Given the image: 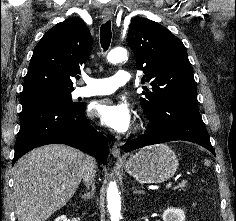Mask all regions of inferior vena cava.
<instances>
[{
  "mask_svg": "<svg viewBox=\"0 0 236 221\" xmlns=\"http://www.w3.org/2000/svg\"><path fill=\"white\" fill-rule=\"evenodd\" d=\"M96 173V162L91 156H86L84 160L82 179L86 186L93 184V178Z\"/></svg>",
  "mask_w": 236,
  "mask_h": 221,
  "instance_id": "obj_1",
  "label": "inferior vena cava"
}]
</instances>
